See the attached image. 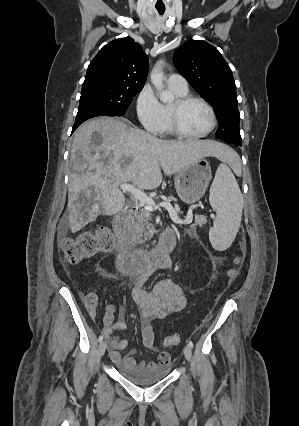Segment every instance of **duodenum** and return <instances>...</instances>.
<instances>
[{
  "mask_svg": "<svg viewBox=\"0 0 299 426\" xmlns=\"http://www.w3.org/2000/svg\"><path fill=\"white\" fill-rule=\"evenodd\" d=\"M128 219L129 211H124L113 221V229L118 238L117 266L123 274L135 275L154 260L169 255L175 247L176 238L173 230L165 229L153 249H137L129 230Z\"/></svg>",
  "mask_w": 299,
  "mask_h": 426,
  "instance_id": "obj_1",
  "label": "duodenum"
}]
</instances>
